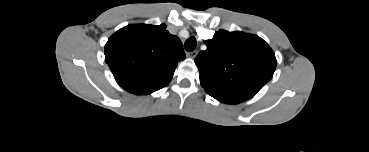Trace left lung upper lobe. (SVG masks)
I'll use <instances>...</instances> for the list:
<instances>
[{"label":"left lung upper lobe","mask_w":369,"mask_h":152,"mask_svg":"<svg viewBox=\"0 0 369 152\" xmlns=\"http://www.w3.org/2000/svg\"><path fill=\"white\" fill-rule=\"evenodd\" d=\"M205 44L207 49L198 54L195 63L200 83L209 95L245 101L273 76L277 64L275 54L258 36L219 30Z\"/></svg>","instance_id":"5c2ea615"}]
</instances>
